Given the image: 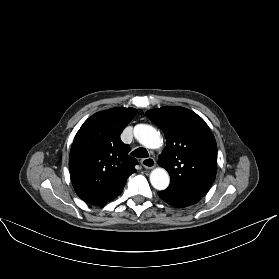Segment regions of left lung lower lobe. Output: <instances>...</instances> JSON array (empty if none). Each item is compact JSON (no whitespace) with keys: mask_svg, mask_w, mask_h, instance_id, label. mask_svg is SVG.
I'll return each mask as SVG.
<instances>
[{"mask_svg":"<svg viewBox=\"0 0 279 279\" xmlns=\"http://www.w3.org/2000/svg\"><path fill=\"white\" fill-rule=\"evenodd\" d=\"M158 195L166 203L176 208H183L197 203L198 201L183 196L174 195L164 191H159Z\"/></svg>","mask_w":279,"mask_h":279,"instance_id":"0a47b994","label":"left lung lower lobe"}]
</instances>
